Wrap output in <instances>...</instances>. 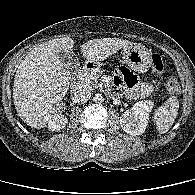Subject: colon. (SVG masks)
Segmentation results:
<instances>
[{
    "label": "colon",
    "instance_id": "colon-1",
    "mask_svg": "<svg viewBox=\"0 0 195 195\" xmlns=\"http://www.w3.org/2000/svg\"><path fill=\"white\" fill-rule=\"evenodd\" d=\"M152 71L156 74L161 73L164 70V61L159 54H153L151 58ZM167 89L172 94H178L180 92V84L176 78H170L167 81Z\"/></svg>",
    "mask_w": 195,
    "mask_h": 195
}]
</instances>
